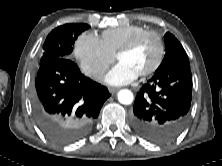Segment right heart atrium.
<instances>
[{"mask_svg":"<svg viewBox=\"0 0 222 166\" xmlns=\"http://www.w3.org/2000/svg\"><path fill=\"white\" fill-rule=\"evenodd\" d=\"M74 55L82 72L93 80H100L115 58L101 39L92 33L78 36L74 44Z\"/></svg>","mask_w":222,"mask_h":166,"instance_id":"d8ad5b80","label":"right heart atrium"}]
</instances>
